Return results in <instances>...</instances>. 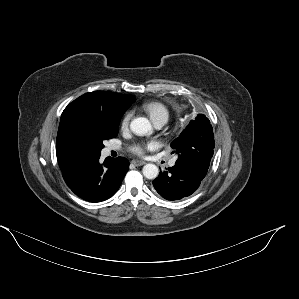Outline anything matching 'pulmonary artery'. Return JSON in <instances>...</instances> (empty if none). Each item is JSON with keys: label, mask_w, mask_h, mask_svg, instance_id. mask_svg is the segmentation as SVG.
<instances>
[{"label": "pulmonary artery", "mask_w": 299, "mask_h": 299, "mask_svg": "<svg viewBox=\"0 0 299 299\" xmlns=\"http://www.w3.org/2000/svg\"><path fill=\"white\" fill-rule=\"evenodd\" d=\"M167 121L166 120H160V121H157L156 123H155V126H156V128H162L164 125H165V123H166ZM109 150H116V147L115 146H111V147H109ZM175 162H176V160L175 159H171L169 162H168V165L170 166V167H172V166H174L175 165Z\"/></svg>", "instance_id": "1"}]
</instances>
